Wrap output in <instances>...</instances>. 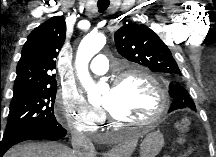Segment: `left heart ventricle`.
Instances as JSON below:
<instances>
[{
	"mask_svg": "<svg viewBox=\"0 0 216 157\" xmlns=\"http://www.w3.org/2000/svg\"><path fill=\"white\" fill-rule=\"evenodd\" d=\"M102 104L120 119L140 121L155 113L159 99L146 80L131 77L119 87L109 88L103 96Z\"/></svg>",
	"mask_w": 216,
	"mask_h": 157,
	"instance_id": "obj_1",
	"label": "left heart ventricle"
}]
</instances>
